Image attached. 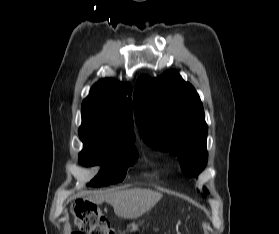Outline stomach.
<instances>
[{"label": "stomach", "mask_w": 279, "mask_h": 234, "mask_svg": "<svg viewBox=\"0 0 279 234\" xmlns=\"http://www.w3.org/2000/svg\"><path fill=\"white\" fill-rule=\"evenodd\" d=\"M137 229H138V225L134 222L129 223L127 225V231L133 232V231H136Z\"/></svg>", "instance_id": "obj_1"}]
</instances>
